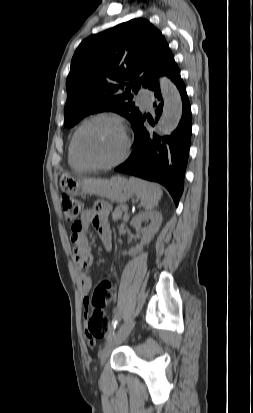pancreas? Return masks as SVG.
Masks as SVG:
<instances>
[{
	"instance_id": "cf45deb5",
	"label": "pancreas",
	"mask_w": 253,
	"mask_h": 413,
	"mask_svg": "<svg viewBox=\"0 0 253 413\" xmlns=\"http://www.w3.org/2000/svg\"><path fill=\"white\" fill-rule=\"evenodd\" d=\"M127 209H128V208H127L126 205H119V206H117V207L115 208L113 214H112L113 220H114V221H117V220L121 219V218H122V215H123V212H126Z\"/></svg>"
}]
</instances>
